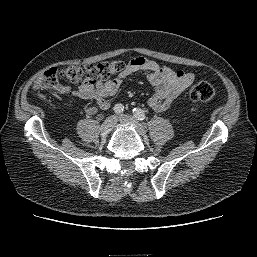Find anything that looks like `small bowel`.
I'll return each mask as SVG.
<instances>
[{
  "mask_svg": "<svg viewBox=\"0 0 257 257\" xmlns=\"http://www.w3.org/2000/svg\"><path fill=\"white\" fill-rule=\"evenodd\" d=\"M143 72L146 80L155 88V92L148 99V106L157 112L165 111L173 101L193 83L195 76L192 72L175 71L154 60L144 57L132 59L125 71L116 77L96 85H80L73 89L69 85L58 84L55 91L70 99L93 100L96 106L86 108L87 114H94L99 109H108L111 98L116 94L124 78Z\"/></svg>",
  "mask_w": 257,
  "mask_h": 257,
  "instance_id": "c3829d8e",
  "label": "small bowel"
}]
</instances>
